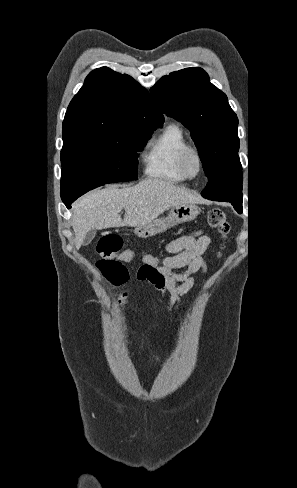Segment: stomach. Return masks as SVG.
I'll return each mask as SVG.
<instances>
[{"instance_id":"1","label":"stomach","mask_w":297,"mask_h":488,"mask_svg":"<svg viewBox=\"0 0 297 488\" xmlns=\"http://www.w3.org/2000/svg\"><path fill=\"white\" fill-rule=\"evenodd\" d=\"M201 210L195 203L179 204L171 208L167 217L156 218L148 224L137 226L135 234L147 238L166 231L171 226L194 220Z\"/></svg>"}]
</instances>
